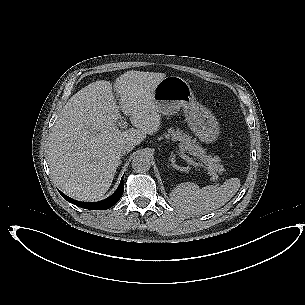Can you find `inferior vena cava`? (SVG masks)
Masks as SVG:
<instances>
[{
    "instance_id": "602c4592",
    "label": "inferior vena cava",
    "mask_w": 305,
    "mask_h": 305,
    "mask_svg": "<svg viewBox=\"0 0 305 305\" xmlns=\"http://www.w3.org/2000/svg\"><path fill=\"white\" fill-rule=\"evenodd\" d=\"M135 147V144L130 142V141H123L121 144H120V152L122 154H126V153H129L130 151L133 150V148Z\"/></svg>"
}]
</instances>
